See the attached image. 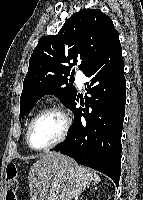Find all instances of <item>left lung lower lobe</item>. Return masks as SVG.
<instances>
[{"instance_id":"obj_1","label":"left lung lower lobe","mask_w":143,"mask_h":200,"mask_svg":"<svg viewBox=\"0 0 143 200\" xmlns=\"http://www.w3.org/2000/svg\"><path fill=\"white\" fill-rule=\"evenodd\" d=\"M89 94L85 106H70L74 124L64 143L54 148L78 163L109 176L118 186L121 175V135L125 115L126 82L119 36H115L99 58L84 72Z\"/></svg>"}]
</instances>
